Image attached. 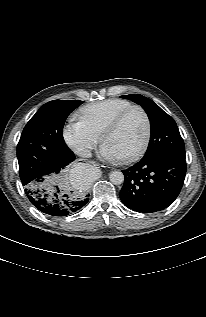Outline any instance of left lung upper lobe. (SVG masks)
Returning <instances> with one entry per match:
<instances>
[{
	"mask_svg": "<svg viewBox=\"0 0 206 317\" xmlns=\"http://www.w3.org/2000/svg\"><path fill=\"white\" fill-rule=\"evenodd\" d=\"M146 111L151 124V138L144 157L171 154L185 157V147L178 127L171 116L165 113L151 99L140 94L123 95Z\"/></svg>",
	"mask_w": 206,
	"mask_h": 317,
	"instance_id": "left-lung-upper-lobe-1",
	"label": "left lung upper lobe"
}]
</instances>
